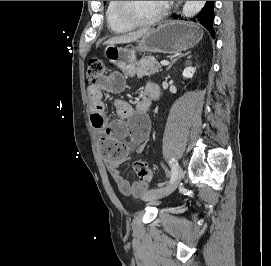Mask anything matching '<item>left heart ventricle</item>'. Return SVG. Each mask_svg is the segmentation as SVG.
<instances>
[{
  "label": "left heart ventricle",
  "instance_id": "left-heart-ventricle-1",
  "mask_svg": "<svg viewBox=\"0 0 271 266\" xmlns=\"http://www.w3.org/2000/svg\"><path fill=\"white\" fill-rule=\"evenodd\" d=\"M162 1H127L128 12L138 19H148L157 14Z\"/></svg>",
  "mask_w": 271,
  "mask_h": 266
}]
</instances>
